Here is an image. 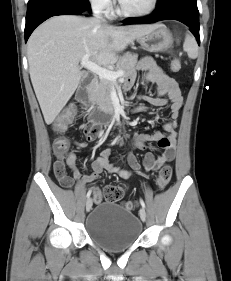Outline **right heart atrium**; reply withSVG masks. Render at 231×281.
Instances as JSON below:
<instances>
[{
    "mask_svg": "<svg viewBox=\"0 0 231 281\" xmlns=\"http://www.w3.org/2000/svg\"><path fill=\"white\" fill-rule=\"evenodd\" d=\"M113 1L114 0H90L91 4L95 8H97L105 13L109 12L112 9Z\"/></svg>",
    "mask_w": 231,
    "mask_h": 281,
    "instance_id": "d8ad5b80",
    "label": "right heart atrium"
}]
</instances>
